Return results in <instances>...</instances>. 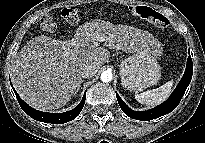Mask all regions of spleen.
Returning <instances> with one entry per match:
<instances>
[{"mask_svg": "<svg viewBox=\"0 0 205 143\" xmlns=\"http://www.w3.org/2000/svg\"><path fill=\"white\" fill-rule=\"evenodd\" d=\"M173 87V80L162 86L135 95V99L146 106L153 107L164 102L170 95Z\"/></svg>", "mask_w": 205, "mask_h": 143, "instance_id": "3e777b00", "label": "spleen"}]
</instances>
